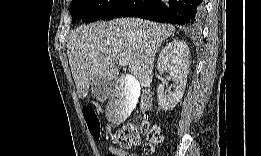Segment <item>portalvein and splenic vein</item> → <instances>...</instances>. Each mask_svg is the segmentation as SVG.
Here are the masks:
<instances>
[{
  "label": "portal vein and splenic vein",
  "mask_w": 261,
  "mask_h": 156,
  "mask_svg": "<svg viewBox=\"0 0 261 156\" xmlns=\"http://www.w3.org/2000/svg\"><path fill=\"white\" fill-rule=\"evenodd\" d=\"M116 63H118L119 65H121V66H127L128 65V63H127V61L126 60H124V59H120V60H114ZM129 84V83H128Z\"/></svg>",
  "instance_id": "obj_1"
}]
</instances>
